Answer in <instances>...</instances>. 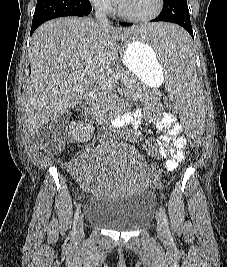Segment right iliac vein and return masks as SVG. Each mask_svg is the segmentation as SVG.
I'll use <instances>...</instances> for the list:
<instances>
[{"label":"right iliac vein","mask_w":227,"mask_h":267,"mask_svg":"<svg viewBox=\"0 0 227 267\" xmlns=\"http://www.w3.org/2000/svg\"><path fill=\"white\" fill-rule=\"evenodd\" d=\"M84 236L83 217L81 216L76 228V238L81 239Z\"/></svg>","instance_id":"1"}]
</instances>
